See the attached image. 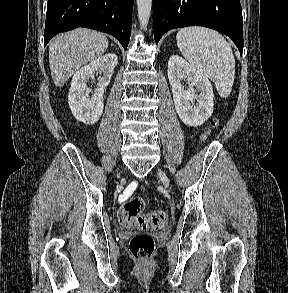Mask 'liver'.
Here are the masks:
<instances>
[{"label":"liver","mask_w":288,"mask_h":293,"mask_svg":"<svg viewBox=\"0 0 288 293\" xmlns=\"http://www.w3.org/2000/svg\"><path fill=\"white\" fill-rule=\"evenodd\" d=\"M108 48L105 35L86 28L62 33L49 45L53 82L60 87L83 65L100 57Z\"/></svg>","instance_id":"1"}]
</instances>
